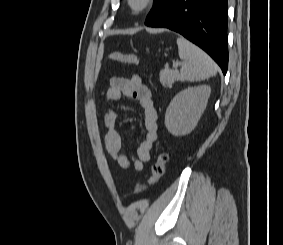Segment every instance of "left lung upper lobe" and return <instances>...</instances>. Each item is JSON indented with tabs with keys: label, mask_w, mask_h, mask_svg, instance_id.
<instances>
[{
	"label": "left lung upper lobe",
	"mask_w": 283,
	"mask_h": 245,
	"mask_svg": "<svg viewBox=\"0 0 283 245\" xmlns=\"http://www.w3.org/2000/svg\"><path fill=\"white\" fill-rule=\"evenodd\" d=\"M172 1L173 0H154L153 8L148 14L145 24L159 16L172 3Z\"/></svg>",
	"instance_id": "left-lung-upper-lobe-1"
}]
</instances>
